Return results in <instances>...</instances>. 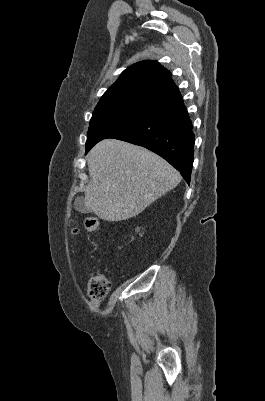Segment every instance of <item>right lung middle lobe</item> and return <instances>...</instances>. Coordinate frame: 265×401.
Returning a JSON list of instances; mask_svg holds the SVG:
<instances>
[{
	"label": "right lung middle lobe",
	"mask_w": 265,
	"mask_h": 401,
	"mask_svg": "<svg viewBox=\"0 0 265 401\" xmlns=\"http://www.w3.org/2000/svg\"><path fill=\"white\" fill-rule=\"evenodd\" d=\"M163 106L145 101H131L97 106L93 112L86 151L102 139L108 138L116 130L137 122Z\"/></svg>",
	"instance_id": "1"
}]
</instances>
